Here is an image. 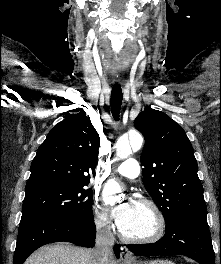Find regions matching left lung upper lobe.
I'll use <instances>...</instances> for the list:
<instances>
[{"instance_id": "5c2ea615", "label": "left lung upper lobe", "mask_w": 221, "mask_h": 264, "mask_svg": "<svg viewBox=\"0 0 221 264\" xmlns=\"http://www.w3.org/2000/svg\"><path fill=\"white\" fill-rule=\"evenodd\" d=\"M134 124L145 138L143 183L165 222L206 219L198 165L184 130L165 113L151 108L142 111Z\"/></svg>"}]
</instances>
